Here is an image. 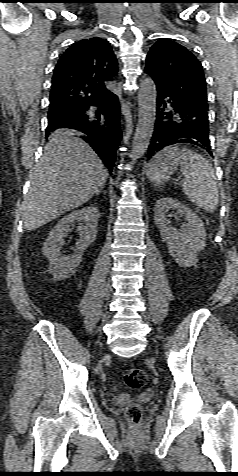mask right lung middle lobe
Wrapping results in <instances>:
<instances>
[{
  "mask_svg": "<svg viewBox=\"0 0 238 476\" xmlns=\"http://www.w3.org/2000/svg\"><path fill=\"white\" fill-rule=\"evenodd\" d=\"M85 111V108L77 107H50L48 112V123L56 124L72 119Z\"/></svg>",
  "mask_w": 238,
  "mask_h": 476,
  "instance_id": "right-lung-middle-lobe-1",
  "label": "right lung middle lobe"
}]
</instances>
